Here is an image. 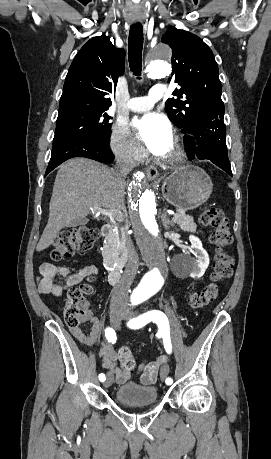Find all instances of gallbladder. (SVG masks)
<instances>
[{
    "instance_id": "obj_1",
    "label": "gallbladder",
    "mask_w": 271,
    "mask_h": 459,
    "mask_svg": "<svg viewBox=\"0 0 271 459\" xmlns=\"http://www.w3.org/2000/svg\"><path fill=\"white\" fill-rule=\"evenodd\" d=\"M83 224H86V220H84V218H77V220H72V222H69L66 228H76V226H83Z\"/></svg>"
}]
</instances>
